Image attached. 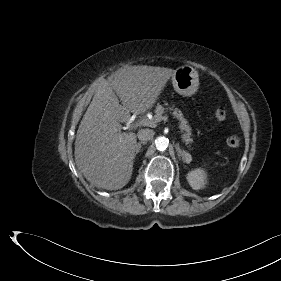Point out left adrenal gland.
Listing matches in <instances>:
<instances>
[{
    "label": "left adrenal gland",
    "instance_id": "1",
    "mask_svg": "<svg viewBox=\"0 0 281 281\" xmlns=\"http://www.w3.org/2000/svg\"><path fill=\"white\" fill-rule=\"evenodd\" d=\"M176 151H177L178 157L179 158L182 157V160L184 162H187L186 158L189 154L186 151L180 149L179 144H176Z\"/></svg>",
    "mask_w": 281,
    "mask_h": 281
}]
</instances>
